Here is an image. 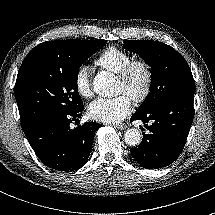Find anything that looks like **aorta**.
I'll return each instance as SVG.
<instances>
[{"label": "aorta", "instance_id": "762f6f07", "mask_svg": "<svg viewBox=\"0 0 215 215\" xmlns=\"http://www.w3.org/2000/svg\"><path fill=\"white\" fill-rule=\"evenodd\" d=\"M112 86L111 77L107 72L98 73L93 81V91L101 96H108ZM142 133L136 128L127 129L124 134V141L127 145L137 146L142 141Z\"/></svg>", "mask_w": 215, "mask_h": 215}]
</instances>
